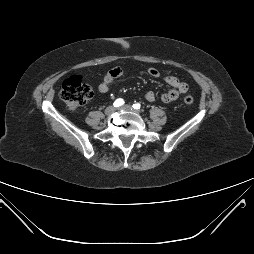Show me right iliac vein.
I'll return each instance as SVG.
<instances>
[{
    "label": "right iliac vein",
    "instance_id": "obj_1",
    "mask_svg": "<svg viewBox=\"0 0 254 254\" xmlns=\"http://www.w3.org/2000/svg\"><path fill=\"white\" fill-rule=\"evenodd\" d=\"M115 111H116V108H115L114 106H108V107L105 109V114H106V115H111V114H113Z\"/></svg>",
    "mask_w": 254,
    "mask_h": 254
}]
</instances>
